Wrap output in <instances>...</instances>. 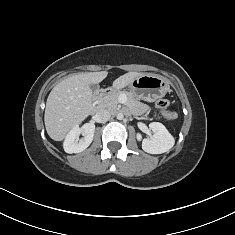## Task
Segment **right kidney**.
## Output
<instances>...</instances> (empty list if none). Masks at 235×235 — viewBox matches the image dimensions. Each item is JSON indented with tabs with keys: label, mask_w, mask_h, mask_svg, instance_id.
<instances>
[{
	"label": "right kidney",
	"mask_w": 235,
	"mask_h": 235,
	"mask_svg": "<svg viewBox=\"0 0 235 235\" xmlns=\"http://www.w3.org/2000/svg\"><path fill=\"white\" fill-rule=\"evenodd\" d=\"M95 131V125L92 123H86L82 127H73L67 134L63 147L65 152L80 153L84 151L93 141ZM82 134L84 137L78 141L79 135Z\"/></svg>",
	"instance_id": "obj_1"
}]
</instances>
